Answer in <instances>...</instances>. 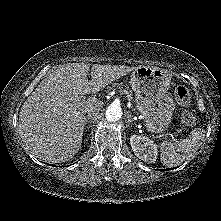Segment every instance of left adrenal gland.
I'll list each match as a JSON object with an SVG mask.
<instances>
[{
	"instance_id": "a2214340",
	"label": "left adrenal gland",
	"mask_w": 221,
	"mask_h": 221,
	"mask_svg": "<svg viewBox=\"0 0 221 221\" xmlns=\"http://www.w3.org/2000/svg\"><path fill=\"white\" fill-rule=\"evenodd\" d=\"M127 117H128V122H133V118H132V115L129 111H127ZM135 126L137 127L136 123H135Z\"/></svg>"
}]
</instances>
